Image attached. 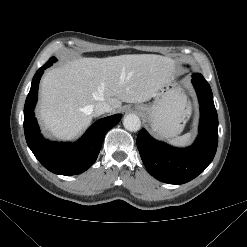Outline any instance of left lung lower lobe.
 I'll use <instances>...</instances> for the list:
<instances>
[{
  "mask_svg": "<svg viewBox=\"0 0 247 247\" xmlns=\"http://www.w3.org/2000/svg\"><path fill=\"white\" fill-rule=\"evenodd\" d=\"M192 77L200 104L199 135L194 144L184 149L174 148L153 139L144 129L137 137L147 171L169 184H183L197 177L212 162L217 150L218 117L210 85L199 73Z\"/></svg>",
  "mask_w": 247,
  "mask_h": 247,
  "instance_id": "obj_1",
  "label": "left lung lower lobe"
}]
</instances>
